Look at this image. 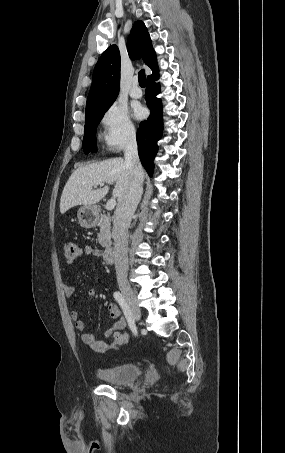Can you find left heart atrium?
<instances>
[{
	"instance_id": "39dd6f15",
	"label": "left heart atrium",
	"mask_w": 285,
	"mask_h": 453,
	"mask_svg": "<svg viewBox=\"0 0 285 453\" xmlns=\"http://www.w3.org/2000/svg\"><path fill=\"white\" fill-rule=\"evenodd\" d=\"M134 115H135V117L138 118V119L143 118L144 115H145L144 108H143L142 106H140V105H136V106L134 107Z\"/></svg>"
}]
</instances>
